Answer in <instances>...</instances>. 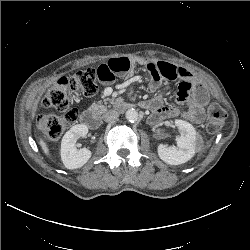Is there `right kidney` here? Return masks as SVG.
<instances>
[{"mask_svg": "<svg viewBox=\"0 0 250 250\" xmlns=\"http://www.w3.org/2000/svg\"><path fill=\"white\" fill-rule=\"evenodd\" d=\"M88 127L83 124L73 126L62 138L61 159L68 169L82 167L91 157V151L87 148H76V141L80 137L86 136Z\"/></svg>", "mask_w": 250, "mask_h": 250, "instance_id": "right-kidney-1", "label": "right kidney"}]
</instances>
